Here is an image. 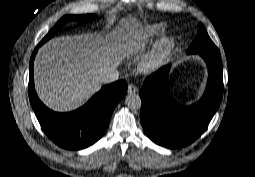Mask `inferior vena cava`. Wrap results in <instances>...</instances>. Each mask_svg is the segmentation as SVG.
I'll return each instance as SVG.
<instances>
[{"label": "inferior vena cava", "instance_id": "1", "mask_svg": "<svg viewBox=\"0 0 255 177\" xmlns=\"http://www.w3.org/2000/svg\"><path fill=\"white\" fill-rule=\"evenodd\" d=\"M119 78V71L117 67L111 66L107 68L100 76L102 83H112Z\"/></svg>", "mask_w": 255, "mask_h": 177}]
</instances>
